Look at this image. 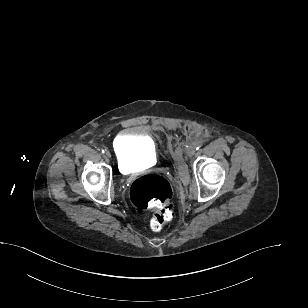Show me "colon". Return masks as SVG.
I'll return each instance as SVG.
<instances>
[{"label": "colon", "instance_id": "5ec220e1", "mask_svg": "<svg viewBox=\"0 0 308 308\" xmlns=\"http://www.w3.org/2000/svg\"><path fill=\"white\" fill-rule=\"evenodd\" d=\"M173 191L170 182L158 174L136 178L130 187L132 203L153 212L152 229L160 230L173 216Z\"/></svg>", "mask_w": 308, "mask_h": 308}]
</instances>
